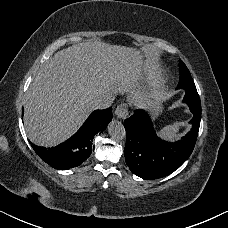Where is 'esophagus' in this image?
<instances>
[{"label":"esophagus","mask_w":228,"mask_h":228,"mask_svg":"<svg viewBox=\"0 0 228 228\" xmlns=\"http://www.w3.org/2000/svg\"><path fill=\"white\" fill-rule=\"evenodd\" d=\"M118 119H126L128 116V106L125 103L120 104L115 110Z\"/></svg>","instance_id":"34e87169"}]
</instances>
